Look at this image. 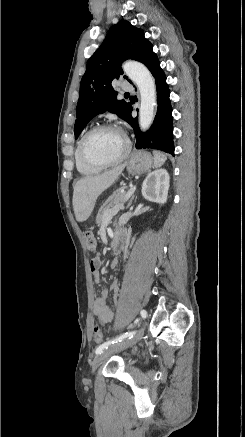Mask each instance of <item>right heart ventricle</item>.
Instances as JSON below:
<instances>
[{
  "mask_svg": "<svg viewBox=\"0 0 245 437\" xmlns=\"http://www.w3.org/2000/svg\"><path fill=\"white\" fill-rule=\"evenodd\" d=\"M79 142L77 143L74 152V160H75V166L77 171L82 175H94L99 173L102 168L89 165L81 157L80 150H79Z\"/></svg>",
  "mask_w": 245,
  "mask_h": 437,
  "instance_id": "right-heart-ventricle-1",
  "label": "right heart ventricle"
}]
</instances>
